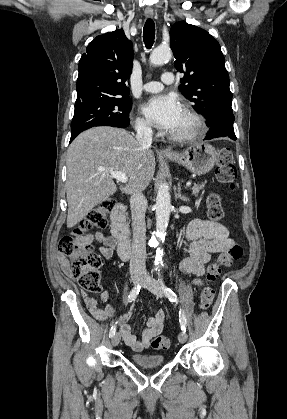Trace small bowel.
<instances>
[{
  "instance_id": "obj_1",
  "label": "small bowel",
  "mask_w": 287,
  "mask_h": 419,
  "mask_svg": "<svg viewBox=\"0 0 287 419\" xmlns=\"http://www.w3.org/2000/svg\"><path fill=\"white\" fill-rule=\"evenodd\" d=\"M187 238L190 241L188 246L184 247V257L181 261V271L184 274H191L196 276L193 284L202 286L203 281L201 276L204 275L206 265L210 261L211 255L220 253L231 245L234 240L229 236V230L226 226L220 223L194 220L187 229ZM89 242L97 241L101 245L99 252L104 258H111L118 246L114 237L106 236L103 233L97 232L86 236ZM59 264L63 272L70 275L69 262L63 256L59 257ZM85 304L91 315L100 321H105L114 316L113 306L106 304L100 305V302H107L111 295L108 290H104L100 294L99 300L83 294ZM164 312L157 310L153 317L147 320V327L144 330L142 337L138 340L132 333L131 327L128 324L130 313L124 314L118 318L120 333L125 344L135 352H141L150 346L153 338L158 336L164 328Z\"/></svg>"
}]
</instances>
